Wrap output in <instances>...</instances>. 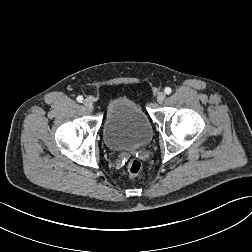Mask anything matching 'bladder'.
I'll return each instance as SVG.
<instances>
[{
    "label": "bladder",
    "mask_w": 252,
    "mask_h": 252,
    "mask_svg": "<svg viewBox=\"0 0 252 252\" xmlns=\"http://www.w3.org/2000/svg\"><path fill=\"white\" fill-rule=\"evenodd\" d=\"M152 125L139 105L128 97L110 101L103 126L104 143L114 152L130 151L147 145Z\"/></svg>",
    "instance_id": "bladder-1"
}]
</instances>
